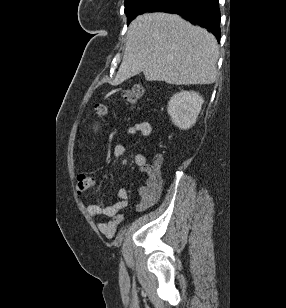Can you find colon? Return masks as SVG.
Returning a JSON list of instances; mask_svg holds the SVG:
<instances>
[{
	"mask_svg": "<svg viewBox=\"0 0 286 308\" xmlns=\"http://www.w3.org/2000/svg\"><path fill=\"white\" fill-rule=\"evenodd\" d=\"M147 93V89L144 86L137 85L131 90L123 94L125 100L131 105L141 99ZM97 113L101 116H106L108 114V109L103 104H98L96 107ZM95 184V179L91 174L81 173L77 176L76 189L79 192H84L91 189Z\"/></svg>",
	"mask_w": 286,
	"mask_h": 308,
	"instance_id": "obj_1",
	"label": "colon"
}]
</instances>
